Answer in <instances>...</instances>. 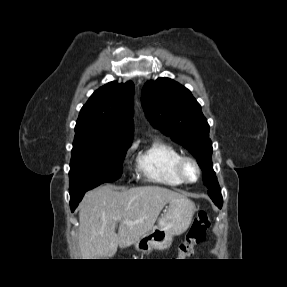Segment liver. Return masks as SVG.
<instances>
[{"instance_id":"liver-1","label":"liver","mask_w":287,"mask_h":287,"mask_svg":"<svg viewBox=\"0 0 287 287\" xmlns=\"http://www.w3.org/2000/svg\"><path fill=\"white\" fill-rule=\"evenodd\" d=\"M182 197L159 186L120 192L105 185L89 191L79 207L78 245L82 259L113 257L118 246H131L154 227L167 203Z\"/></svg>"}]
</instances>
